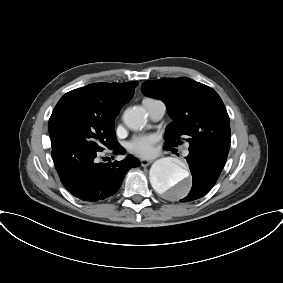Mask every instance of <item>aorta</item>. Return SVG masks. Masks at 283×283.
<instances>
[{
	"instance_id": "obj_1",
	"label": "aorta",
	"mask_w": 283,
	"mask_h": 283,
	"mask_svg": "<svg viewBox=\"0 0 283 283\" xmlns=\"http://www.w3.org/2000/svg\"><path fill=\"white\" fill-rule=\"evenodd\" d=\"M124 123L133 130L146 125L145 112L141 108H129L123 114ZM150 182L158 193H171L174 198L184 197L189 191V173L172 158L155 161L150 169Z\"/></svg>"
}]
</instances>
